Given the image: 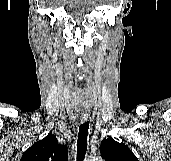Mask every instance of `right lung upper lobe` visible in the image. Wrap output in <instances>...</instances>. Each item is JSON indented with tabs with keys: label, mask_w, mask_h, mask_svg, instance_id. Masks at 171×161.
<instances>
[{
	"label": "right lung upper lobe",
	"mask_w": 171,
	"mask_h": 161,
	"mask_svg": "<svg viewBox=\"0 0 171 161\" xmlns=\"http://www.w3.org/2000/svg\"><path fill=\"white\" fill-rule=\"evenodd\" d=\"M67 147L58 143L54 134H49L34 143L20 161H67Z\"/></svg>",
	"instance_id": "1"
}]
</instances>
